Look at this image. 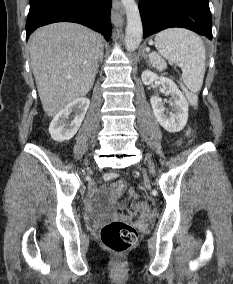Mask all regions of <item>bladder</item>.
<instances>
[{"instance_id": "obj_1", "label": "bladder", "mask_w": 233, "mask_h": 284, "mask_svg": "<svg viewBox=\"0 0 233 284\" xmlns=\"http://www.w3.org/2000/svg\"><path fill=\"white\" fill-rule=\"evenodd\" d=\"M105 194H106V193H105L104 191L98 192V193L95 195L94 200H95L96 202H98V203L102 202V201L104 200V198H105Z\"/></svg>"}]
</instances>
